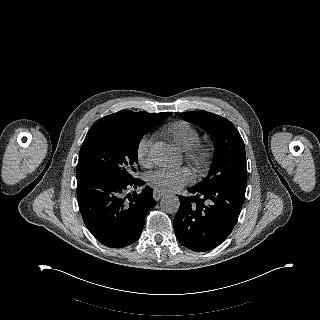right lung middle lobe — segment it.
<instances>
[{
    "instance_id": "obj_1",
    "label": "right lung middle lobe",
    "mask_w": 320,
    "mask_h": 320,
    "mask_svg": "<svg viewBox=\"0 0 320 320\" xmlns=\"http://www.w3.org/2000/svg\"><path fill=\"white\" fill-rule=\"evenodd\" d=\"M143 135H102L82 144L77 171L98 169L123 180H133Z\"/></svg>"
}]
</instances>
